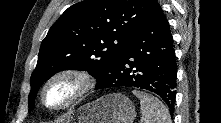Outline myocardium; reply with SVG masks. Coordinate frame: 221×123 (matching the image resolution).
<instances>
[{
  "mask_svg": "<svg viewBox=\"0 0 221 123\" xmlns=\"http://www.w3.org/2000/svg\"><path fill=\"white\" fill-rule=\"evenodd\" d=\"M71 80L75 85V90L72 96L57 106H51L47 104L45 100V94L48 88L55 82L59 80ZM95 87L94 78L85 70L75 69V68H66L59 70L52 74L43 84L40 90V101L42 105L50 111H62L69 108H72L83 100L92 92Z\"/></svg>",
  "mask_w": 221,
  "mask_h": 123,
  "instance_id": "obj_1",
  "label": "myocardium"
}]
</instances>
